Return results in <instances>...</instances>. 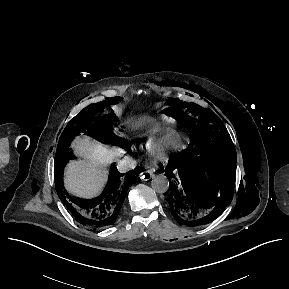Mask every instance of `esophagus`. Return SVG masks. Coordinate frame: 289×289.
I'll return each instance as SVG.
<instances>
[{"mask_svg": "<svg viewBox=\"0 0 289 289\" xmlns=\"http://www.w3.org/2000/svg\"><path fill=\"white\" fill-rule=\"evenodd\" d=\"M154 178V173L152 170H146L142 173V180L149 181Z\"/></svg>", "mask_w": 289, "mask_h": 289, "instance_id": "obj_1", "label": "esophagus"}]
</instances>
